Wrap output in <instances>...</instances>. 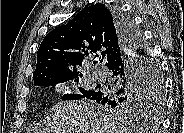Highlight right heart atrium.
I'll list each match as a JSON object with an SVG mask.
<instances>
[{
	"instance_id": "right-heart-atrium-1",
	"label": "right heart atrium",
	"mask_w": 184,
	"mask_h": 133,
	"mask_svg": "<svg viewBox=\"0 0 184 133\" xmlns=\"http://www.w3.org/2000/svg\"><path fill=\"white\" fill-rule=\"evenodd\" d=\"M56 91L57 92H62L63 91V86L62 85L57 86Z\"/></svg>"
}]
</instances>
